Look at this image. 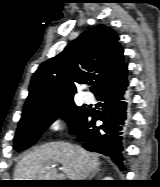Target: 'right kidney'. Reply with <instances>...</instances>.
Returning <instances> with one entry per match:
<instances>
[{"label": "right kidney", "instance_id": "1", "mask_svg": "<svg viewBox=\"0 0 160 187\" xmlns=\"http://www.w3.org/2000/svg\"><path fill=\"white\" fill-rule=\"evenodd\" d=\"M104 180H111V178L107 177V178H104Z\"/></svg>", "mask_w": 160, "mask_h": 187}]
</instances>
